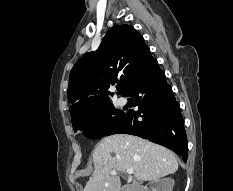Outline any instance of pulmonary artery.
Returning a JSON list of instances; mask_svg holds the SVG:
<instances>
[{
	"mask_svg": "<svg viewBox=\"0 0 233 191\" xmlns=\"http://www.w3.org/2000/svg\"><path fill=\"white\" fill-rule=\"evenodd\" d=\"M118 103L121 105V106H124L126 103H127V99L124 98V97H121L118 99Z\"/></svg>",
	"mask_w": 233,
	"mask_h": 191,
	"instance_id": "pulmonary-artery-1",
	"label": "pulmonary artery"
}]
</instances>
